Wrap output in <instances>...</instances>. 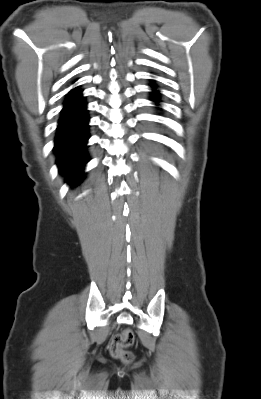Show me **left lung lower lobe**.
I'll return each instance as SVG.
<instances>
[{"mask_svg":"<svg viewBox=\"0 0 261 399\" xmlns=\"http://www.w3.org/2000/svg\"><path fill=\"white\" fill-rule=\"evenodd\" d=\"M152 100H153V101H156V102L159 101V99H158V93H157V92H153V98H152Z\"/></svg>","mask_w":261,"mask_h":399,"instance_id":"left-lung-lower-lobe-1","label":"left lung lower lobe"}]
</instances>
